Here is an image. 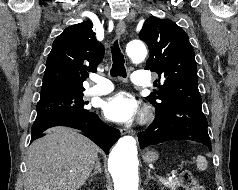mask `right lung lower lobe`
I'll return each mask as SVG.
<instances>
[{
  "label": "right lung lower lobe",
  "instance_id": "right-lung-lower-lobe-1",
  "mask_svg": "<svg viewBox=\"0 0 238 190\" xmlns=\"http://www.w3.org/2000/svg\"><path fill=\"white\" fill-rule=\"evenodd\" d=\"M53 126H67L83 131L88 138L100 146L106 153L118 140V129L106 125L95 112L56 115L36 119L32 126L31 142L42 136V133Z\"/></svg>",
  "mask_w": 238,
  "mask_h": 190
}]
</instances>
